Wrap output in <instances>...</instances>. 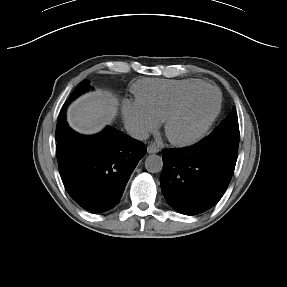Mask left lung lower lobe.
Segmentation results:
<instances>
[{
    "mask_svg": "<svg viewBox=\"0 0 287 287\" xmlns=\"http://www.w3.org/2000/svg\"><path fill=\"white\" fill-rule=\"evenodd\" d=\"M161 189L167 203L185 215L214 206L232 178L238 149L206 137L181 149L162 150Z\"/></svg>",
    "mask_w": 287,
    "mask_h": 287,
    "instance_id": "left-lung-lower-lobe-1",
    "label": "left lung lower lobe"
}]
</instances>
